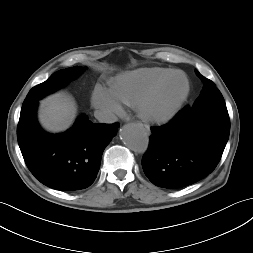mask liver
<instances>
[{
	"label": "liver",
	"instance_id": "liver-1",
	"mask_svg": "<svg viewBox=\"0 0 253 253\" xmlns=\"http://www.w3.org/2000/svg\"><path fill=\"white\" fill-rule=\"evenodd\" d=\"M75 116V103L63 93L51 95L41 101L39 120L48 131L66 130L73 123Z\"/></svg>",
	"mask_w": 253,
	"mask_h": 253
}]
</instances>
